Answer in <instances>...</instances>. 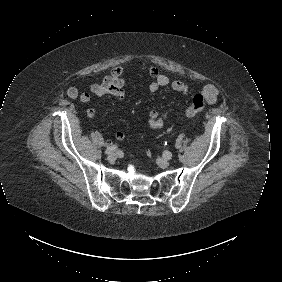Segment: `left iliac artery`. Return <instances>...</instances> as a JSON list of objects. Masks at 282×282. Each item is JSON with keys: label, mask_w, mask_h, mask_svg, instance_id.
I'll return each instance as SVG.
<instances>
[{"label": "left iliac artery", "mask_w": 282, "mask_h": 282, "mask_svg": "<svg viewBox=\"0 0 282 282\" xmlns=\"http://www.w3.org/2000/svg\"><path fill=\"white\" fill-rule=\"evenodd\" d=\"M163 155H164V157H166L167 159H171V157H172V154H171L169 151H165Z\"/></svg>", "instance_id": "left-iliac-artery-1"}]
</instances>
